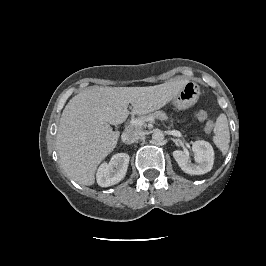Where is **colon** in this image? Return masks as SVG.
I'll return each instance as SVG.
<instances>
[{"mask_svg": "<svg viewBox=\"0 0 266 266\" xmlns=\"http://www.w3.org/2000/svg\"><path fill=\"white\" fill-rule=\"evenodd\" d=\"M195 116L200 121H204L207 119V113L203 110L196 112ZM212 128H213V123L211 121H208L205 125L206 131H211Z\"/></svg>", "mask_w": 266, "mask_h": 266, "instance_id": "obj_1", "label": "colon"}]
</instances>
